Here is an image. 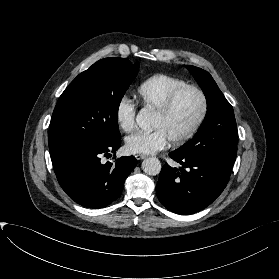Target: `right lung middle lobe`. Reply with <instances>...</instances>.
<instances>
[{"instance_id":"obj_1","label":"right lung middle lobe","mask_w":279,"mask_h":279,"mask_svg":"<svg viewBox=\"0 0 279 279\" xmlns=\"http://www.w3.org/2000/svg\"><path fill=\"white\" fill-rule=\"evenodd\" d=\"M138 68L124 58H105L69 84L50 122L51 157L76 148H93L121 136L118 108Z\"/></svg>"}]
</instances>
